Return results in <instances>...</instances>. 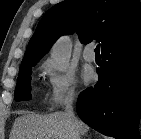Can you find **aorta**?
Returning <instances> with one entry per match:
<instances>
[{
  "label": "aorta",
  "mask_w": 141,
  "mask_h": 139,
  "mask_svg": "<svg viewBox=\"0 0 141 139\" xmlns=\"http://www.w3.org/2000/svg\"><path fill=\"white\" fill-rule=\"evenodd\" d=\"M71 42L68 37L60 38L52 47L50 57L55 68L62 71L68 64L71 57Z\"/></svg>",
  "instance_id": "1"
}]
</instances>
